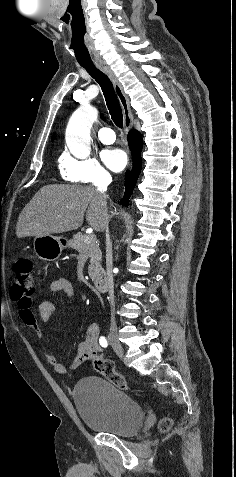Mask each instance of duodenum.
I'll list each match as a JSON object with an SVG mask.
<instances>
[{
    "mask_svg": "<svg viewBox=\"0 0 236 477\" xmlns=\"http://www.w3.org/2000/svg\"><path fill=\"white\" fill-rule=\"evenodd\" d=\"M93 283L96 289L101 293H105L108 290V280L104 276L96 277Z\"/></svg>",
    "mask_w": 236,
    "mask_h": 477,
    "instance_id": "duodenum-1",
    "label": "duodenum"
}]
</instances>
